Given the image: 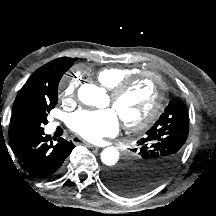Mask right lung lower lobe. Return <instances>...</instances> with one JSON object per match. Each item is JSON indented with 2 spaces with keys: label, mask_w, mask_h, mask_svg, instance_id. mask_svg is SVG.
I'll use <instances>...</instances> for the list:
<instances>
[{
  "label": "right lung lower lobe",
  "mask_w": 216,
  "mask_h": 216,
  "mask_svg": "<svg viewBox=\"0 0 216 216\" xmlns=\"http://www.w3.org/2000/svg\"><path fill=\"white\" fill-rule=\"evenodd\" d=\"M74 147L63 138H58L57 143L53 144L51 136L45 135L44 131L29 132L15 146H11L21 167L41 180L59 175Z\"/></svg>",
  "instance_id": "1"
}]
</instances>
